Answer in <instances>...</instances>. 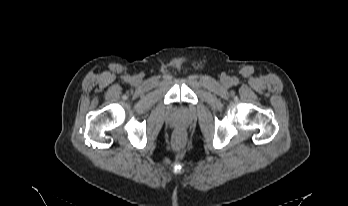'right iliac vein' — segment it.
<instances>
[{
  "label": "right iliac vein",
  "instance_id": "right-iliac-vein-1",
  "mask_svg": "<svg viewBox=\"0 0 348 206\" xmlns=\"http://www.w3.org/2000/svg\"><path fill=\"white\" fill-rule=\"evenodd\" d=\"M133 82H134L135 84H137V83H139V79H138V78H135V79L133 80Z\"/></svg>",
  "mask_w": 348,
  "mask_h": 206
}]
</instances>
